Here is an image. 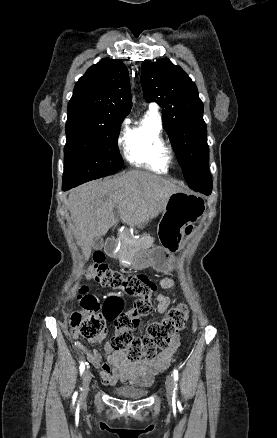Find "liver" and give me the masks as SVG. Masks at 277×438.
<instances>
[{"label":"liver","instance_id":"obj_1","mask_svg":"<svg viewBox=\"0 0 277 438\" xmlns=\"http://www.w3.org/2000/svg\"><path fill=\"white\" fill-rule=\"evenodd\" d=\"M174 184L150 172L130 170L113 180H95L71 190L68 204L85 262L95 238L105 236L119 216L127 226H143L162 212Z\"/></svg>","mask_w":277,"mask_h":438}]
</instances>
